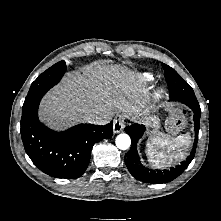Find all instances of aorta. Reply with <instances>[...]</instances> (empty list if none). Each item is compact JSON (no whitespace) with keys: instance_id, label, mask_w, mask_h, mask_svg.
<instances>
[{"instance_id":"762f6f07","label":"aorta","mask_w":221,"mask_h":221,"mask_svg":"<svg viewBox=\"0 0 221 221\" xmlns=\"http://www.w3.org/2000/svg\"><path fill=\"white\" fill-rule=\"evenodd\" d=\"M115 143L119 149L126 150L131 145V139H130L129 135L122 133L116 137Z\"/></svg>"}]
</instances>
